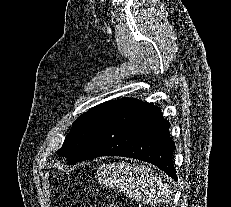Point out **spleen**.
<instances>
[{
	"label": "spleen",
	"mask_w": 231,
	"mask_h": 207,
	"mask_svg": "<svg viewBox=\"0 0 231 207\" xmlns=\"http://www.w3.org/2000/svg\"><path fill=\"white\" fill-rule=\"evenodd\" d=\"M99 178L106 186L116 187L128 197L145 204H167L171 188L153 170L146 166L129 163L104 164Z\"/></svg>",
	"instance_id": "3e777b00"
}]
</instances>
